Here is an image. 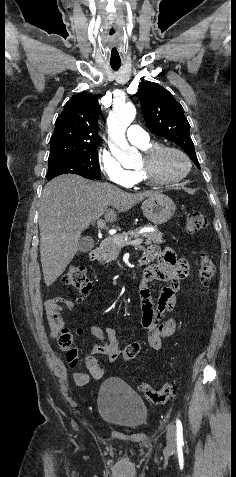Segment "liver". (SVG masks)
<instances>
[{
    "instance_id": "liver-1",
    "label": "liver",
    "mask_w": 236,
    "mask_h": 477,
    "mask_svg": "<svg viewBox=\"0 0 236 477\" xmlns=\"http://www.w3.org/2000/svg\"><path fill=\"white\" fill-rule=\"evenodd\" d=\"M158 191L135 194L101 182L66 174L51 180L42 191L39 207L40 256L47 286L65 271L78 251L81 233L101 216L117 219Z\"/></svg>"
}]
</instances>
